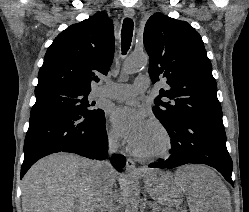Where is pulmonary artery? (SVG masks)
Masks as SVG:
<instances>
[{"label":"pulmonary artery","mask_w":249,"mask_h":212,"mask_svg":"<svg viewBox=\"0 0 249 212\" xmlns=\"http://www.w3.org/2000/svg\"><path fill=\"white\" fill-rule=\"evenodd\" d=\"M102 80H105V78H102ZM149 86L148 77L139 75L135 78L133 84L108 81L99 88L98 94L112 99L126 100L144 93Z\"/></svg>","instance_id":"1"}]
</instances>
